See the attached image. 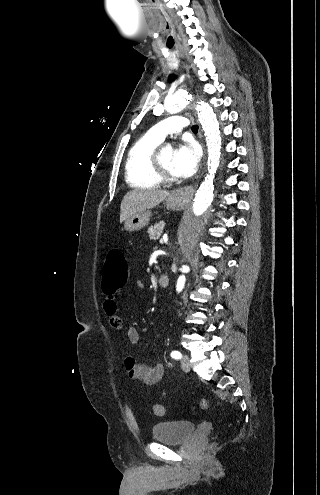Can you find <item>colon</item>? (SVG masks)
<instances>
[{
	"instance_id": "5ec220e1",
	"label": "colon",
	"mask_w": 320,
	"mask_h": 495,
	"mask_svg": "<svg viewBox=\"0 0 320 495\" xmlns=\"http://www.w3.org/2000/svg\"><path fill=\"white\" fill-rule=\"evenodd\" d=\"M128 278V264L124 253L118 249H113L107 255L104 270L102 285L106 293L116 292L121 288ZM198 406L202 410H208L210 405L205 399L200 400ZM153 413L156 416L164 414V407L161 404H154L152 407Z\"/></svg>"
}]
</instances>
